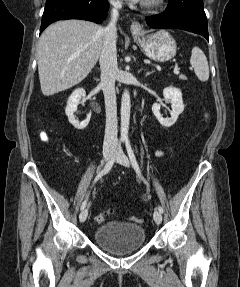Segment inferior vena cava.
<instances>
[{
	"instance_id": "602c4592",
	"label": "inferior vena cava",
	"mask_w": 240,
	"mask_h": 287,
	"mask_svg": "<svg viewBox=\"0 0 240 287\" xmlns=\"http://www.w3.org/2000/svg\"><path fill=\"white\" fill-rule=\"evenodd\" d=\"M112 19L108 25L102 29L103 44L100 53L101 82L105 99L106 126L103 148H113L117 144V106L115 93V79L118 71L116 39V23L118 10L122 4L118 0H111Z\"/></svg>"
}]
</instances>
